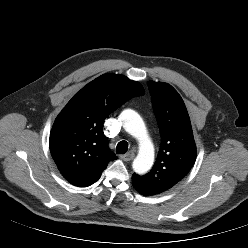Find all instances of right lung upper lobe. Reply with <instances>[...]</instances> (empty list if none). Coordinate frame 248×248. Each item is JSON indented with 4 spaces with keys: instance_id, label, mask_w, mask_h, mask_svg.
Wrapping results in <instances>:
<instances>
[{
    "instance_id": "obj_1",
    "label": "right lung upper lobe",
    "mask_w": 248,
    "mask_h": 248,
    "mask_svg": "<svg viewBox=\"0 0 248 248\" xmlns=\"http://www.w3.org/2000/svg\"><path fill=\"white\" fill-rule=\"evenodd\" d=\"M142 86L119 74H104L84 86L56 118L50 133V152L64 178L87 187L116 159L107 147L104 119L135 96Z\"/></svg>"
}]
</instances>
